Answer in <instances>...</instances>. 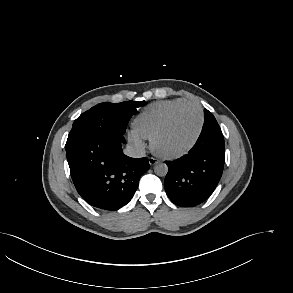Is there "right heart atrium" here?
Wrapping results in <instances>:
<instances>
[{
    "mask_svg": "<svg viewBox=\"0 0 293 293\" xmlns=\"http://www.w3.org/2000/svg\"><path fill=\"white\" fill-rule=\"evenodd\" d=\"M129 141L132 144V146L139 151H142L146 148V143L144 141V138L140 137L134 132L129 134Z\"/></svg>",
    "mask_w": 293,
    "mask_h": 293,
    "instance_id": "obj_1",
    "label": "right heart atrium"
}]
</instances>
